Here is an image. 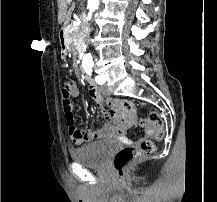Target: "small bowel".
I'll list each match as a JSON object with an SVG mask.
<instances>
[{
    "label": "small bowel",
    "mask_w": 217,
    "mask_h": 202,
    "mask_svg": "<svg viewBox=\"0 0 217 202\" xmlns=\"http://www.w3.org/2000/svg\"><path fill=\"white\" fill-rule=\"evenodd\" d=\"M88 92L90 96L96 101L97 107L103 112L106 118L109 120L107 124L99 129H77L74 128V132L71 135V141L74 147H81L83 144L95 142L102 139H114L122 144L134 145L137 142L129 139L126 136L128 128L134 125V118H137L135 113L136 104L133 101H107V112L104 111L103 102L104 96L100 89L93 83L88 86ZM70 95L72 98H78L80 96V89L78 85L72 82L70 89ZM143 128V126H140ZM145 137H153V128H143Z\"/></svg>",
    "instance_id": "1"
}]
</instances>
